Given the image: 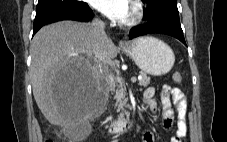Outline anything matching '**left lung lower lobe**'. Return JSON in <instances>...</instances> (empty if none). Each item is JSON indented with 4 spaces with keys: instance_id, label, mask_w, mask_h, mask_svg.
Returning a JSON list of instances; mask_svg holds the SVG:
<instances>
[{
    "instance_id": "1",
    "label": "left lung lower lobe",
    "mask_w": 227,
    "mask_h": 142,
    "mask_svg": "<svg viewBox=\"0 0 227 142\" xmlns=\"http://www.w3.org/2000/svg\"><path fill=\"white\" fill-rule=\"evenodd\" d=\"M151 33L170 35L186 45L179 18L164 14H157L148 18V22L146 24L133 27L130 30L129 37L130 39H133L135 37Z\"/></svg>"
}]
</instances>
